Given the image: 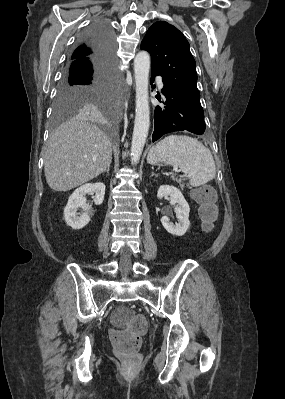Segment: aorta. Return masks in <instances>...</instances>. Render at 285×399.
<instances>
[{
	"instance_id": "obj_1",
	"label": "aorta",
	"mask_w": 285,
	"mask_h": 399,
	"mask_svg": "<svg viewBox=\"0 0 285 399\" xmlns=\"http://www.w3.org/2000/svg\"><path fill=\"white\" fill-rule=\"evenodd\" d=\"M150 55L140 51L134 59L136 83V115L131 142V163L136 165L142 155L150 126V108L148 96Z\"/></svg>"
}]
</instances>
